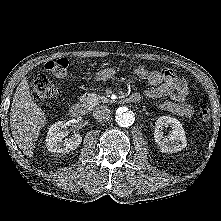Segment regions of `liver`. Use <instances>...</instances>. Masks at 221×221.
I'll use <instances>...</instances> for the list:
<instances>
[{
  "instance_id": "liver-1",
  "label": "liver",
  "mask_w": 221,
  "mask_h": 221,
  "mask_svg": "<svg viewBox=\"0 0 221 221\" xmlns=\"http://www.w3.org/2000/svg\"><path fill=\"white\" fill-rule=\"evenodd\" d=\"M45 124V114L32 100L29 84L23 78L11 104L10 127L15 142L28 157L33 156L35 142Z\"/></svg>"
}]
</instances>
